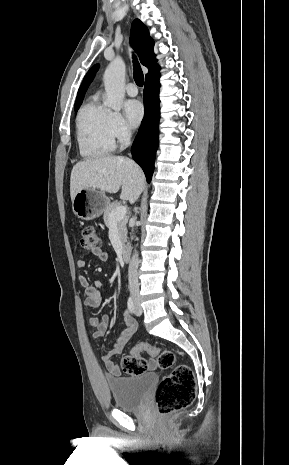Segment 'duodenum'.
<instances>
[{"label":"duodenum","mask_w":289,"mask_h":465,"mask_svg":"<svg viewBox=\"0 0 289 465\" xmlns=\"http://www.w3.org/2000/svg\"><path fill=\"white\" fill-rule=\"evenodd\" d=\"M121 258L124 262H128L130 260V248L128 246H124L122 248Z\"/></svg>","instance_id":"1"}]
</instances>
